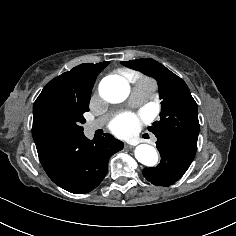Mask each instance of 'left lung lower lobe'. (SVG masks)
<instances>
[{"mask_svg":"<svg viewBox=\"0 0 236 236\" xmlns=\"http://www.w3.org/2000/svg\"><path fill=\"white\" fill-rule=\"evenodd\" d=\"M157 139L161 162L157 167L145 168L142 173L154 185L169 186L189 168L197 150V141L172 135Z\"/></svg>","mask_w":236,"mask_h":236,"instance_id":"1","label":"left lung lower lobe"}]
</instances>
